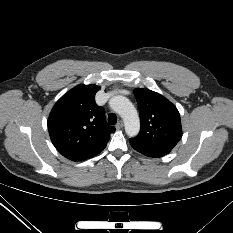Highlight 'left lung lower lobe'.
I'll return each mask as SVG.
<instances>
[{
  "label": "left lung lower lobe",
  "mask_w": 233,
  "mask_h": 233,
  "mask_svg": "<svg viewBox=\"0 0 233 233\" xmlns=\"http://www.w3.org/2000/svg\"><path fill=\"white\" fill-rule=\"evenodd\" d=\"M130 144H131V146H132L135 150H137L138 152L142 153V154L145 155V156L153 157V158H159V156L153 155V154H151L150 152H147L146 150H142L141 148H139L138 146H136V145H135L134 143H132L131 141H130Z\"/></svg>",
  "instance_id": "1"
}]
</instances>
